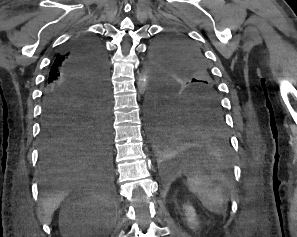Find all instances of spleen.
Instances as JSON below:
<instances>
[{"instance_id":"3e777b00","label":"spleen","mask_w":297,"mask_h":237,"mask_svg":"<svg viewBox=\"0 0 297 237\" xmlns=\"http://www.w3.org/2000/svg\"><path fill=\"white\" fill-rule=\"evenodd\" d=\"M187 186L206 209L216 214H222L225 199L223 182L218 175L208 176L196 172L187 178Z\"/></svg>"}]
</instances>
